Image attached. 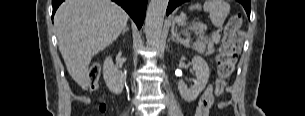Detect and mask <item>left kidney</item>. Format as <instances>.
I'll use <instances>...</instances> for the list:
<instances>
[{"label":"left kidney","instance_id":"5707ae66","mask_svg":"<svg viewBox=\"0 0 305 116\" xmlns=\"http://www.w3.org/2000/svg\"><path fill=\"white\" fill-rule=\"evenodd\" d=\"M192 66L196 73L194 85L188 89L182 80L178 82V90L180 95L187 102H192L197 99L199 94L205 89L209 79V67L201 56L193 57Z\"/></svg>","mask_w":305,"mask_h":116}]
</instances>
